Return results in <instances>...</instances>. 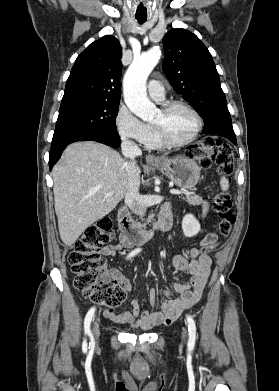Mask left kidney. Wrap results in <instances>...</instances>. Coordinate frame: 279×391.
I'll return each mask as SVG.
<instances>
[{
  "mask_svg": "<svg viewBox=\"0 0 279 391\" xmlns=\"http://www.w3.org/2000/svg\"><path fill=\"white\" fill-rule=\"evenodd\" d=\"M182 230L186 237H193L200 231L199 221L192 214H187L182 220Z\"/></svg>",
  "mask_w": 279,
  "mask_h": 391,
  "instance_id": "obj_1",
  "label": "left kidney"
}]
</instances>
